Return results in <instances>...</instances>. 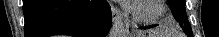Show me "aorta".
<instances>
[{
    "instance_id": "762f6f07",
    "label": "aorta",
    "mask_w": 219,
    "mask_h": 37,
    "mask_svg": "<svg viewBox=\"0 0 219 37\" xmlns=\"http://www.w3.org/2000/svg\"><path fill=\"white\" fill-rule=\"evenodd\" d=\"M109 37H126V29L124 27V23L121 20H117L114 22Z\"/></svg>"
}]
</instances>
